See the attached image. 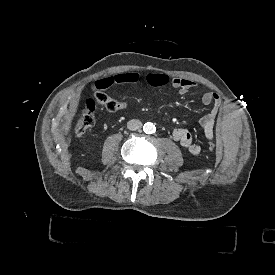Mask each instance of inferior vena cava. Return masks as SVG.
Returning a JSON list of instances; mask_svg holds the SVG:
<instances>
[{"mask_svg": "<svg viewBox=\"0 0 275 275\" xmlns=\"http://www.w3.org/2000/svg\"><path fill=\"white\" fill-rule=\"evenodd\" d=\"M141 127H142V122L138 119H132L127 122V128L131 131L141 129Z\"/></svg>", "mask_w": 275, "mask_h": 275, "instance_id": "1", "label": "inferior vena cava"}]
</instances>
